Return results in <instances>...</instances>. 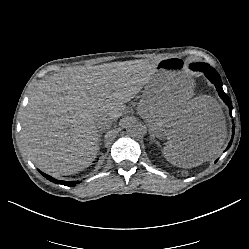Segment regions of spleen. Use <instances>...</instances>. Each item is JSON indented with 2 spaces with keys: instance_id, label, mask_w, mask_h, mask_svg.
Segmentation results:
<instances>
[{
  "instance_id": "3e777b00",
  "label": "spleen",
  "mask_w": 249,
  "mask_h": 249,
  "mask_svg": "<svg viewBox=\"0 0 249 249\" xmlns=\"http://www.w3.org/2000/svg\"><path fill=\"white\" fill-rule=\"evenodd\" d=\"M170 150V148H168V146L163 148V155L167 158V159H173L175 160V158L173 157V155H168V151Z\"/></svg>"
}]
</instances>
